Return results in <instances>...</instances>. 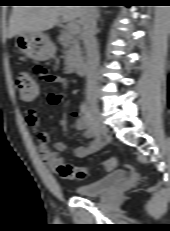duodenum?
I'll return each mask as SVG.
<instances>
[{
  "label": "duodenum",
  "mask_w": 170,
  "mask_h": 231,
  "mask_svg": "<svg viewBox=\"0 0 170 231\" xmlns=\"http://www.w3.org/2000/svg\"><path fill=\"white\" fill-rule=\"evenodd\" d=\"M75 70L78 75H86L88 73V64L84 60H79L76 62Z\"/></svg>",
  "instance_id": "1"
}]
</instances>
